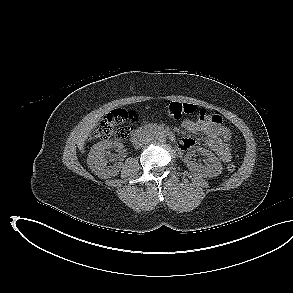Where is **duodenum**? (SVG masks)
<instances>
[{"label": "duodenum", "instance_id": "obj_1", "mask_svg": "<svg viewBox=\"0 0 293 293\" xmlns=\"http://www.w3.org/2000/svg\"><path fill=\"white\" fill-rule=\"evenodd\" d=\"M152 134L164 136V137H167L172 140L174 139L173 133L168 129L161 128V127L146 126V127H143V128L136 130L133 133V135L131 137V142L133 145L138 146L142 143V141L146 137H148ZM177 145L180 148L179 143Z\"/></svg>", "mask_w": 293, "mask_h": 293}]
</instances>
